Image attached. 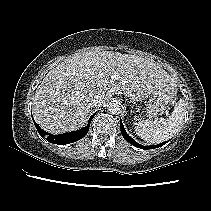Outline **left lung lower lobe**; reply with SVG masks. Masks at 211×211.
I'll return each instance as SVG.
<instances>
[{
	"label": "left lung lower lobe",
	"instance_id": "left-lung-lower-lobe-1",
	"mask_svg": "<svg viewBox=\"0 0 211 211\" xmlns=\"http://www.w3.org/2000/svg\"><path fill=\"white\" fill-rule=\"evenodd\" d=\"M120 129H121V134H122V136H123L130 144H132V145H134L135 147L140 148V149H145V150H147V149H155V148H158V147H160V146H162V145H164V144L166 143V142H165V143H162V144H160V145H152V146H143V145L137 143L134 139H132V138L127 134V132H126V130H125L123 124H122L121 119H120Z\"/></svg>",
	"mask_w": 211,
	"mask_h": 211
}]
</instances>
